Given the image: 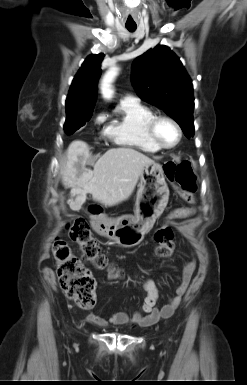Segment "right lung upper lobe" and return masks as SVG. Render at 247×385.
<instances>
[{
    "label": "right lung upper lobe",
    "instance_id": "cb5924a9",
    "mask_svg": "<svg viewBox=\"0 0 247 385\" xmlns=\"http://www.w3.org/2000/svg\"><path fill=\"white\" fill-rule=\"evenodd\" d=\"M103 57L104 54L101 53L92 54L85 59L72 81L66 99V108H94Z\"/></svg>",
    "mask_w": 247,
    "mask_h": 385
}]
</instances>
